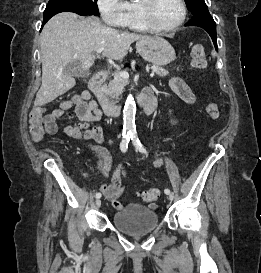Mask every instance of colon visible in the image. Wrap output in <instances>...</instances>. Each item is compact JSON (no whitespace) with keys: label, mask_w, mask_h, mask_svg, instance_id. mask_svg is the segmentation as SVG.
<instances>
[{"label":"colon","mask_w":261,"mask_h":273,"mask_svg":"<svg viewBox=\"0 0 261 273\" xmlns=\"http://www.w3.org/2000/svg\"><path fill=\"white\" fill-rule=\"evenodd\" d=\"M190 65L194 69H203L206 66V52L205 48L200 44L191 46L190 51ZM206 112L210 119L217 120L220 117V109L216 102L210 101L206 104ZM44 120L45 110L42 107L32 109L29 115L30 132L35 140H42L44 137ZM160 196V191L157 188L144 190L140 193V197L145 202H154Z\"/></svg>","instance_id":"obj_1"}]
</instances>
